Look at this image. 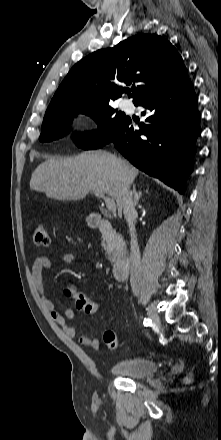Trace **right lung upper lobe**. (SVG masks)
<instances>
[{
  "instance_id": "1",
  "label": "right lung upper lobe",
  "mask_w": 221,
  "mask_h": 440,
  "mask_svg": "<svg viewBox=\"0 0 221 440\" xmlns=\"http://www.w3.org/2000/svg\"><path fill=\"white\" fill-rule=\"evenodd\" d=\"M188 72L175 47L163 37L140 34L77 62L64 78L47 111L84 104L97 107L120 98L122 84L140 83L134 104L183 83Z\"/></svg>"
}]
</instances>
